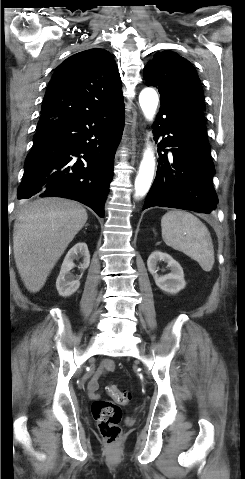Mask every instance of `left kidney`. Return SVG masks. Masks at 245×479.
Here are the masks:
<instances>
[{
	"label": "left kidney",
	"instance_id": "obj_1",
	"mask_svg": "<svg viewBox=\"0 0 245 479\" xmlns=\"http://www.w3.org/2000/svg\"><path fill=\"white\" fill-rule=\"evenodd\" d=\"M164 261L168 264L171 272L161 276L157 272L158 262ZM148 271L152 274L156 285L164 292L169 294H177L185 288L184 272L180 264L174 260L169 254L160 251H154L147 260Z\"/></svg>",
	"mask_w": 245,
	"mask_h": 479
}]
</instances>
